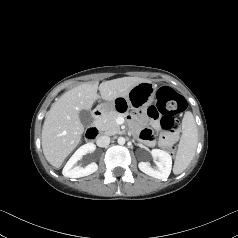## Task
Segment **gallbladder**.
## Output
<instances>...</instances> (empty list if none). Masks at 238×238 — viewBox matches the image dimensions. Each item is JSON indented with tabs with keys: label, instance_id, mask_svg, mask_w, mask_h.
Here are the masks:
<instances>
[{
	"label": "gallbladder",
	"instance_id": "obj_1",
	"mask_svg": "<svg viewBox=\"0 0 238 238\" xmlns=\"http://www.w3.org/2000/svg\"><path fill=\"white\" fill-rule=\"evenodd\" d=\"M79 118L85 127L89 126L93 122V116L89 110H81L79 112Z\"/></svg>",
	"mask_w": 238,
	"mask_h": 238
}]
</instances>
